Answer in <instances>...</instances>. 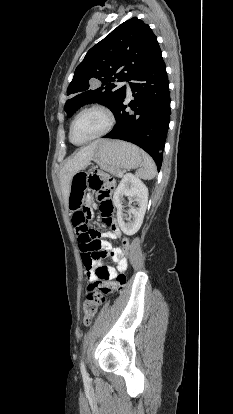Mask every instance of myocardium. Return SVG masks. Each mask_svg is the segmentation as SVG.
<instances>
[{
  "label": "myocardium",
  "mask_w": 233,
  "mask_h": 414,
  "mask_svg": "<svg viewBox=\"0 0 233 414\" xmlns=\"http://www.w3.org/2000/svg\"><path fill=\"white\" fill-rule=\"evenodd\" d=\"M90 111H96V112H99L100 114H102L105 118V121H106L105 126L101 131H99L95 135L91 136L90 138H88L84 141H81V142H75L72 139L73 127H74L76 121L78 120V118L82 114H84L86 112H90ZM115 123H116L115 116H114L113 112L110 109H108V108H106L102 105H98V104H93V105L86 106V107L82 108L80 111H78V113L74 116V118L71 121V124H70V127H69L70 141L72 143L76 144V145H83V144L90 143V142H92L96 139H99V138L107 135L114 128Z\"/></svg>",
  "instance_id": "myocardium-1"
}]
</instances>
